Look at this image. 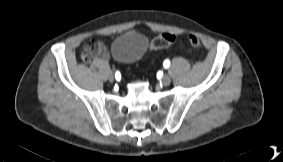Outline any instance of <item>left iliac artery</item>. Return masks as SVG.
<instances>
[{
  "label": "left iliac artery",
  "mask_w": 283,
  "mask_h": 162,
  "mask_svg": "<svg viewBox=\"0 0 283 162\" xmlns=\"http://www.w3.org/2000/svg\"><path fill=\"white\" fill-rule=\"evenodd\" d=\"M165 68H168L170 66V61L169 60H165L163 63Z\"/></svg>",
  "instance_id": "44dca946"
}]
</instances>
